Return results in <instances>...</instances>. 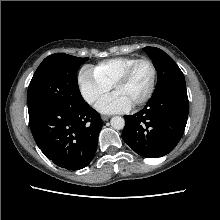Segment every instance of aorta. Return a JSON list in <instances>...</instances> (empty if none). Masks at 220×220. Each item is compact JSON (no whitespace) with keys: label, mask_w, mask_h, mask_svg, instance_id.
Returning <instances> with one entry per match:
<instances>
[{"label":"aorta","mask_w":220,"mask_h":220,"mask_svg":"<svg viewBox=\"0 0 220 220\" xmlns=\"http://www.w3.org/2000/svg\"><path fill=\"white\" fill-rule=\"evenodd\" d=\"M110 123H111L112 128H114L116 130H121L125 126V120L121 116L112 117L110 120Z\"/></svg>","instance_id":"aorta-1"}]
</instances>
